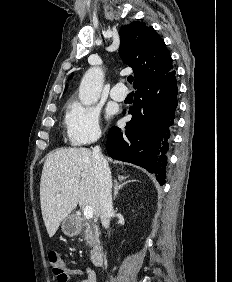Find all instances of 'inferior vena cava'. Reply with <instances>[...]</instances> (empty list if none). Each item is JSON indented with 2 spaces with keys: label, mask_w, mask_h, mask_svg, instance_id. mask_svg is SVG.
Listing matches in <instances>:
<instances>
[{
  "label": "inferior vena cava",
  "mask_w": 232,
  "mask_h": 282,
  "mask_svg": "<svg viewBox=\"0 0 232 282\" xmlns=\"http://www.w3.org/2000/svg\"><path fill=\"white\" fill-rule=\"evenodd\" d=\"M92 157L99 185L100 219L102 226L108 228L113 213L111 172L99 146L93 148Z\"/></svg>",
  "instance_id": "obj_1"
}]
</instances>
